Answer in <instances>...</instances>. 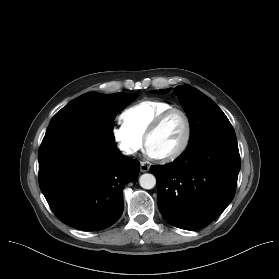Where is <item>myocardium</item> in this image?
Instances as JSON below:
<instances>
[{
	"label": "myocardium",
	"instance_id": "obj_1",
	"mask_svg": "<svg viewBox=\"0 0 279 279\" xmlns=\"http://www.w3.org/2000/svg\"><path fill=\"white\" fill-rule=\"evenodd\" d=\"M173 113H178L182 116L184 122H185V135L183 138L182 143L179 145L177 149L172 151L171 153H168L163 156H158L157 158L164 161H172L180 157L188 148L191 138H192V122L188 115V113L178 107H171L164 111H162L150 124L148 127L145 135H144V143L146 148H148V141L149 138L160 128V126L163 124V122L167 119L168 116H170Z\"/></svg>",
	"mask_w": 279,
	"mask_h": 279
}]
</instances>
